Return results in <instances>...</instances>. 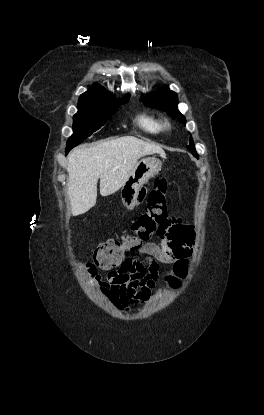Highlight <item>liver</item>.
Wrapping results in <instances>:
<instances>
[{
  "label": "liver",
  "mask_w": 264,
  "mask_h": 415,
  "mask_svg": "<svg viewBox=\"0 0 264 415\" xmlns=\"http://www.w3.org/2000/svg\"><path fill=\"white\" fill-rule=\"evenodd\" d=\"M155 153L164 155L160 146L133 136L73 150L67 166L72 215L84 214L95 206L99 179L100 194L111 195L125 184L141 157Z\"/></svg>",
  "instance_id": "liver-1"
}]
</instances>
